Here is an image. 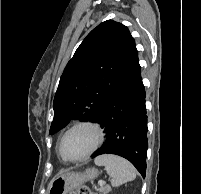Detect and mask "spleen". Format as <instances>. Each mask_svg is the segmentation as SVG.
Instances as JSON below:
<instances>
[{
    "mask_svg": "<svg viewBox=\"0 0 201 194\" xmlns=\"http://www.w3.org/2000/svg\"><path fill=\"white\" fill-rule=\"evenodd\" d=\"M95 164L104 166L108 175L112 178L113 187H119L136 178V170L133 165L116 155L104 154L95 158Z\"/></svg>",
    "mask_w": 201,
    "mask_h": 194,
    "instance_id": "obj_1",
    "label": "spleen"
}]
</instances>
